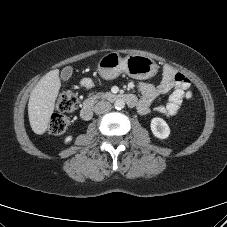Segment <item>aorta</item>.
<instances>
[{"mask_svg": "<svg viewBox=\"0 0 227 227\" xmlns=\"http://www.w3.org/2000/svg\"><path fill=\"white\" fill-rule=\"evenodd\" d=\"M114 106L117 110H121L125 107V102L123 99H117L115 102H114Z\"/></svg>", "mask_w": 227, "mask_h": 227, "instance_id": "aorta-1", "label": "aorta"}]
</instances>
